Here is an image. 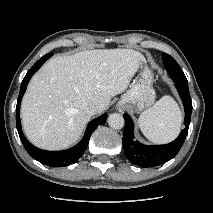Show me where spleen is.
<instances>
[{"mask_svg": "<svg viewBox=\"0 0 213 213\" xmlns=\"http://www.w3.org/2000/svg\"><path fill=\"white\" fill-rule=\"evenodd\" d=\"M181 123V110L170 96L162 97L144 111L138 120L141 132L153 143H167L175 139Z\"/></svg>", "mask_w": 213, "mask_h": 213, "instance_id": "spleen-1", "label": "spleen"}]
</instances>
